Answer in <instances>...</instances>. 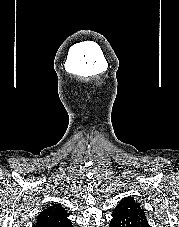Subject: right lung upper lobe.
Segmentation results:
<instances>
[{
	"label": "right lung upper lobe",
	"instance_id": "obj_1",
	"mask_svg": "<svg viewBox=\"0 0 179 227\" xmlns=\"http://www.w3.org/2000/svg\"><path fill=\"white\" fill-rule=\"evenodd\" d=\"M68 215L60 204H53L40 212L35 227H73Z\"/></svg>",
	"mask_w": 179,
	"mask_h": 227
}]
</instances>
